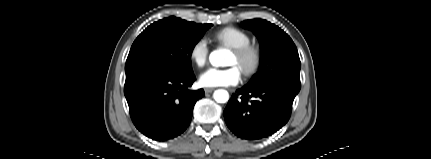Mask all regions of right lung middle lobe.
I'll use <instances>...</instances> for the list:
<instances>
[{"mask_svg": "<svg viewBox=\"0 0 431 159\" xmlns=\"http://www.w3.org/2000/svg\"><path fill=\"white\" fill-rule=\"evenodd\" d=\"M212 24H196L169 17L148 26L134 41L127 57L126 76L147 67L171 72L193 73L191 54Z\"/></svg>", "mask_w": 431, "mask_h": 159, "instance_id": "right-lung-middle-lobe-1", "label": "right lung middle lobe"}]
</instances>
